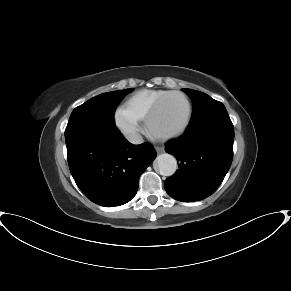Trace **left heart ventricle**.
I'll list each match as a JSON object with an SVG mask.
<instances>
[{
    "mask_svg": "<svg viewBox=\"0 0 291 291\" xmlns=\"http://www.w3.org/2000/svg\"><path fill=\"white\" fill-rule=\"evenodd\" d=\"M187 118V105L183 97H168L153 120V128L160 133H168L180 128Z\"/></svg>",
    "mask_w": 291,
    "mask_h": 291,
    "instance_id": "1",
    "label": "left heart ventricle"
}]
</instances>
